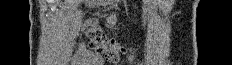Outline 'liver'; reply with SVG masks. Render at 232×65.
Here are the masks:
<instances>
[{"label":"liver","instance_id":"obj_1","mask_svg":"<svg viewBox=\"0 0 232 65\" xmlns=\"http://www.w3.org/2000/svg\"><path fill=\"white\" fill-rule=\"evenodd\" d=\"M67 3H76L77 1H74V0H68L66 1Z\"/></svg>","mask_w":232,"mask_h":65}]
</instances>
